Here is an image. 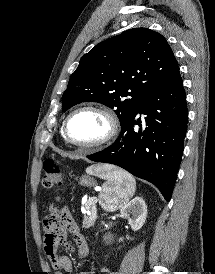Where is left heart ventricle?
<instances>
[{"label": "left heart ventricle", "instance_id": "1", "mask_svg": "<svg viewBox=\"0 0 215 274\" xmlns=\"http://www.w3.org/2000/svg\"><path fill=\"white\" fill-rule=\"evenodd\" d=\"M108 130L106 119L93 111L77 113L69 122V135L78 143H92L101 139Z\"/></svg>", "mask_w": 215, "mask_h": 274}]
</instances>
